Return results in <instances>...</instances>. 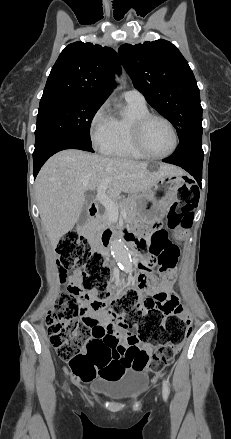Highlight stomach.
Here are the masks:
<instances>
[{
	"mask_svg": "<svg viewBox=\"0 0 231 439\" xmlns=\"http://www.w3.org/2000/svg\"><path fill=\"white\" fill-rule=\"evenodd\" d=\"M184 174H172L158 180L148 191L135 197L137 211L149 221H160L177 200L178 190L188 186Z\"/></svg>",
	"mask_w": 231,
	"mask_h": 439,
	"instance_id": "0dacf381",
	"label": "stomach"
}]
</instances>
